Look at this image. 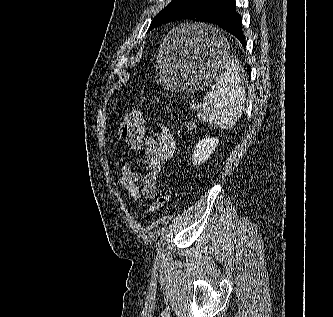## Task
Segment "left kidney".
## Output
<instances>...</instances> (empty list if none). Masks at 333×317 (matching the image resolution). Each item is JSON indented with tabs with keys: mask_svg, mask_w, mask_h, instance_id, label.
<instances>
[{
	"mask_svg": "<svg viewBox=\"0 0 333 317\" xmlns=\"http://www.w3.org/2000/svg\"><path fill=\"white\" fill-rule=\"evenodd\" d=\"M218 138L208 137L198 142L192 154L194 165L204 164L217 147Z\"/></svg>",
	"mask_w": 333,
	"mask_h": 317,
	"instance_id": "obj_1",
	"label": "left kidney"
}]
</instances>
